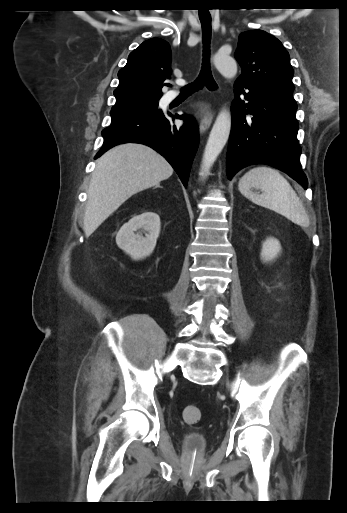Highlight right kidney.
Masks as SVG:
<instances>
[{"label":"right kidney","instance_id":"obj_1","mask_svg":"<svg viewBox=\"0 0 347 513\" xmlns=\"http://www.w3.org/2000/svg\"><path fill=\"white\" fill-rule=\"evenodd\" d=\"M160 228L159 215L154 212H144L134 216L120 228L116 235V243L134 260L143 259L153 252Z\"/></svg>","mask_w":347,"mask_h":513}]
</instances>
